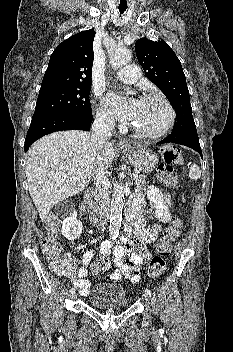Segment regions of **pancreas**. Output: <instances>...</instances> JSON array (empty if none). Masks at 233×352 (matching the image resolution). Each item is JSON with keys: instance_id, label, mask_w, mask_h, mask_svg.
<instances>
[{"instance_id": "obj_1", "label": "pancreas", "mask_w": 233, "mask_h": 352, "mask_svg": "<svg viewBox=\"0 0 233 352\" xmlns=\"http://www.w3.org/2000/svg\"><path fill=\"white\" fill-rule=\"evenodd\" d=\"M147 176L139 175L137 178H134V183L138 187H143L146 184Z\"/></svg>"}]
</instances>
